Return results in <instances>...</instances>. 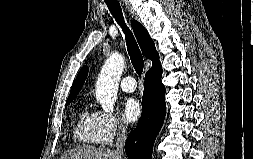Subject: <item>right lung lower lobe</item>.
Here are the masks:
<instances>
[{
  "label": "right lung lower lobe",
  "mask_w": 253,
  "mask_h": 159,
  "mask_svg": "<svg viewBox=\"0 0 253 159\" xmlns=\"http://www.w3.org/2000/svg\"><path fill=\"white\" fill-rule=\"evenodd\" d=\"M161 70H149L145 75L142 98V114L137 127L125 143L129 159H152V148L160 131L166 111L165 87L161 82Z\"/></svg>",
  "instance_id": "right-lung-lower-lobe-1"
}]
</instances>
